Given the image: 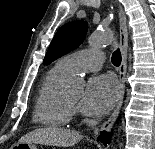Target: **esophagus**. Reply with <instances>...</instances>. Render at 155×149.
I'll use <instances>...</instances> for the list:
<instances>
[{
    "label": "esophagus",
    "mask_w": 155,
    "mask_h": 149,
    "mask_svg": "<svg viewBox=\"0 0 155 149\" xmlns=\"http://www.w3.org/2000/svg\"><path fill=\"white\" fill-rule=\"evenodd\" d=\"M118 16H119V33H120V50H121V64L119 66V94L117 98V102L115 108L111 114V116L101 125V131H110L115 123L125 94V75H126V68H127V50H128V31H127V24H126V16L121 6L118 8ZM98 135V133H97Z\"/></svg>",
    "instance_id": "obj_1"
}]
</instances>
